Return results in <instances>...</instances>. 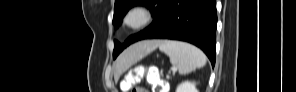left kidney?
<instances>
[{
    "label": "left kidney",
    "instance_id": "left-kidney-1",
    "mask_svg": "<svg viewBox=\"0 0 296 92\" xmlns=\"http://www.w3.org/2000/svg\"><path fill=\"white\" fill-rule=\"evenodd\" d=\"M176 92H198L194 82L185 81L178 85Z\"/></svg>",
    "mask_w": 296,
    "mask_h": 92
}]
</instances>
